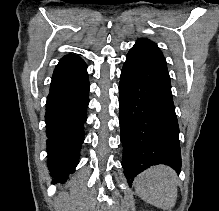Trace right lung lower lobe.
<instances>
[{
  "mask_svg": "<svg viewBox=\"0 0 219 211\" xmlns=\"http://www.w3.org/2000/svg\"><path fill=\"white\" fill-rule=\"evenodd\" d=\"M87 66L79 56L56 65L46 103L48 166L53 183H65L78 164L89 103Z\"/></svg>",
  "mask_w": 219,
  "mask_h": 211,
  "instance_id": "obj_1",
  "label": "right lung lower lobe"
}]
</instances>
